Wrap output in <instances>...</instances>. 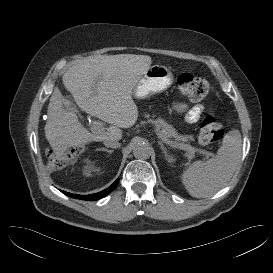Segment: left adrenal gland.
Segmentation results:
<instances>
[{"instance_id":"obj_1","label":"left adrenal gland","mask_w":273,"mask_h":273,"mask_svg":"<svg viewBox=\"0 0 273 273\" xmlns=\"http://www.w3.org/2000/svg\"><path fill=\"white\" fill-rule=\"evenodd\" d=\"M161 150L163 151L164 157L168 162H172V156L167 153V149L161 141H158Z\"/></svg>"}]
</instances>
